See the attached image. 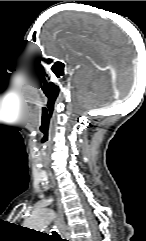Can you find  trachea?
I'll use <instances>...</instances> for the list:
<instances>
[{
  "mask_svg": "<svg viewBox=\"0 0 146 241\" xmlns=\"http://www.w3.org/2000/svg\"><path fill=\"white\" fill-rule=\"evenodd\" d=\"M53 241H66L65 239L60 238L59 234L56 231L52 232Z\"/></svg>",
  "mask_w": 146,
  "mask_h": 241,
  "instance_id": "3493384b",
  "label": "trachea"
}]
</instances>
